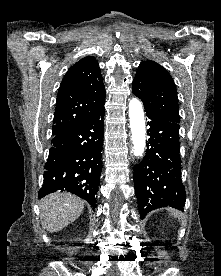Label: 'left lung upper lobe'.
Wrapping results in <instances>:
<instances>
[{
  "instance_id": "5c2ea615",
  "label": "left lung upper lobe",
  "mask_w": 221,
  "mask_h": 276,
  "mask_svg": "<svg viewBox=\"0 0 221 276\" xmlns=\"http://www.w3.org/2000/svg\"><path fill=\"white\" fill-rule=\"evenodd\" d=\"M143 101L147 114L160 120L179 123L177 90L170 74L154 61H142L132 85Z\"/></svg>"
}]
</instances>
